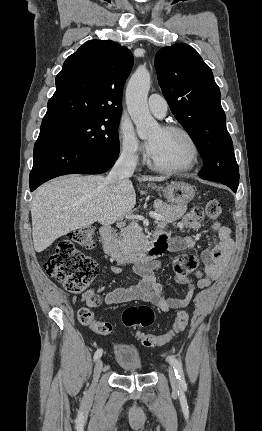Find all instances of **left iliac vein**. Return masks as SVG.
Listing matches in <instances>:
<instances>
[{
	"instance_id": "left-iliac-vein-1",
	"label": "left iliac vein",
	"mask_w": 262,
	"mask_h": 431,
	"mask_svg": "<svg viewBox=\"0 0 262 431\" xmlns=\"http://www.w3.org/2000/svg\"><path fill=\"white\" fill-rule=\"evenodd\" d=\"M169 378H170L172 386L174 388H177L178 387V380H177V377H176V374H175L173 368H171V367L169 368Z\"/></svg>"
}]
</instances>
